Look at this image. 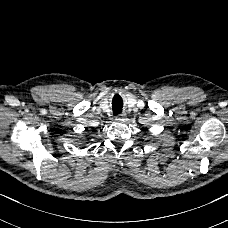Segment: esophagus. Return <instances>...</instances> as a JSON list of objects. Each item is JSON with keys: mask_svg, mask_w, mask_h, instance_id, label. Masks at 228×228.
<instances>
[{"mask_svg": "<svg viewBox=\"0 0 228 228\" xmlns=\"http://www.w3.org/2000/svg\"><path fill=\"white\" fill-rule=\"evenodd\" d=\"M125 118V114H119L116 116V120H121Z\"/></svg>", "mask_w": 228, "mask_h": 228, "instance_id": "obj_1", "label": "esophagus"}]
</instances>
